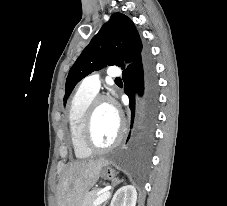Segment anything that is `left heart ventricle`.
<instances>
[{
	"label": "left heart ventricle",
	"instance_id": "obj_1",
	"mask_svg": "<svg viewBox=\"0 0 227 206\" xmlns=\"http://www.w3.org/2000/svg\"><path fill=\"white\" fill-rule=\"evenodd\" d=\"M118 130V118L115 117L109 103L99 105L93 125V138L97 145L107 146L112 143Z\"/></svg>",
	"mask_w": 227,
	"mask_h": 206
}]
</instances>
